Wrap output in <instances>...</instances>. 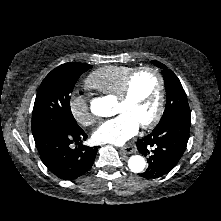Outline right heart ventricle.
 Here are the masks:
<instances>
[{
    "label": "right heart ventricle",
    "instance_id": "e07e8e85",
    "mask_svg": "<svg viewBox=\"0 0 221 221\" xmlns=\"http://www.w3.org/2000/svg\"><path fill=\"white\" fill-rule=\"evenodd\" d=\"M134 67L108 65L92 72L85 80L86 87L103 94L117 96Z\"/></svg>",
    "mask_w": 221,
    "mask_h": 221
}]
</instances>
